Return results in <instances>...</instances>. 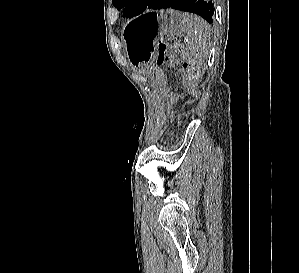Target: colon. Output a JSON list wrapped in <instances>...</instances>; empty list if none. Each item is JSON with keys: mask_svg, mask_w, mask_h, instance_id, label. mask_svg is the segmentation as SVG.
I'll return each mask as SVG.
<instances>
[{"mask_svg": "<svg viewBox=\"0 0 299 273\" xmlns=\"http://www.w3.org/2000/svg\"><path fill=\"white\" fill-rule=\"evenodd\" d=\"M183 50L179 45H170L166 42L160 41L157 48L156 62L158 64H166L170 67H176L179 64L178 54ZM183 70L185 80L188 83L197 81L200 78L201 72L198 65L192 60H186L183 63Z\"/></svg>", "mask_w": 299, "mask_h": 273, "instance_id": "colon-1", "label": "colon"}]
</instances>
